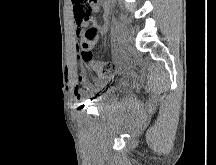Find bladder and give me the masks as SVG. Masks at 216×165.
<instances>
[{
  "label": "bladder",
  "mask_w": 216,
  "mask_h": 165,
  "mask_svg": "<svg viewBox=\"0 0 216 165\" xmlns=\"http://www.w3.org/2000/svg\"><path fill=\"white\" fill-rule=\"evenodd\" d=\"M106 80L107 81L100 82L99 86L102 88V91L98 94V96L94 100V104L99 108L105 107L107 104H109V102L115 95V90L111 87H108V86L115 85V82L112 81L113 77L107 76Z\"/></svg>",
  "instance_id": "obj_1"
}]
</instances>
